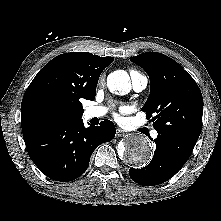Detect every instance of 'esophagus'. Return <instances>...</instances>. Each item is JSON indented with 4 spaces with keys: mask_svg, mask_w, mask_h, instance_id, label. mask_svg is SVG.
<instances>
[{
    "mask_svg": "<svg viewBox=\"0 0 221 221\" xmlns=\"http://www.w3.org/2000/svg\"><path fill=\"white\" fill-rule=\"evenodd\" d=\"M124 135H125V132H124L122 129L118 128V129L116 130V136H117V137H122V136H124Z\"/></svg>",
    "mask_w": 221,
    "mask_h": 221,
    "instance_id": "1",
    "label": "esophagus"
}]
</instances>
